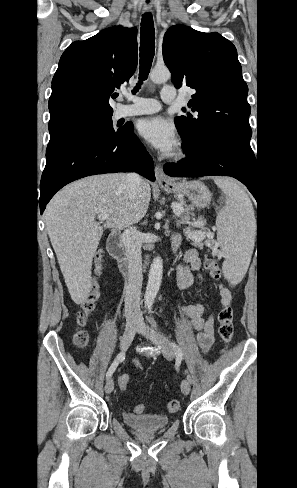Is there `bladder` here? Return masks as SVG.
Instances as JSON below:
<instances>
[{"label": "bladder", "mask_w": 297, "mask_h": 488, "mask_svg": "<svg viewBox=\"0 0 297 488\" xmlns=\"http://www.w3.org/2000/svg\"><path fill=\"white\" fill-rule=\"evenodd\" d=\"M124 423L135 430L144 432H153L165 428L170 419L162 414H133L128 412L122 413Z\"/></svg>", "instance_id": "bladder-1"}]
</instances>
